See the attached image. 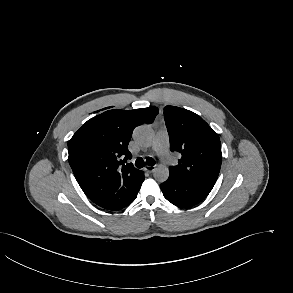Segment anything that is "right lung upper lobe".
Returning <instances> with one entry per match:
<instances>
[{"label":"right lung upper lobe","mask_w":293,"mask_h":293,"mask_svg":"<svg viewBox=\"0 0 293 293\" xmlns=\"http://www.w3.org/2000/svg\"><path fill=\"white\" fill-rule=\"evenodd\" d=\"M156 107L108 110L88 120L68 142V161L86 196L107 210H120L137 197L143 171L127 163L133 129L152 123Z\"/></svg>","instance_id":"right-lung-upper-lobe-1"}]
</instances>
